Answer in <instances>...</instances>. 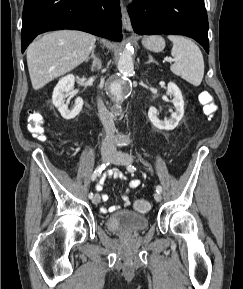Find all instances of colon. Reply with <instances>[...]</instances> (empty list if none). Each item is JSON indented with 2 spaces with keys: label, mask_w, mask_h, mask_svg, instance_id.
Listing matches in <instances>:
<instances>
[{
  "label": "colon",
  "mask_w": 243,
  "mask_h": 289,
  "mask_svg": "<svg viewBox=\"0 0 243 289\" xmlns=\"http://www.w3.org/2000/svg\"><path fill=\"white\" fill-rule=\"evenodd\" d=\"M199 99L203 105L204 113L208 117H212L217 110L212 94L206 91L202 92ZM28 131L34 137H44V120L43 116L38 111L30 112L28 116ZM150 208L151 204L147 200L139 199L134 202V209L140 213H146L150 210Z\"/></svg>",
  "instance_id": "1"
}]
</instances>
